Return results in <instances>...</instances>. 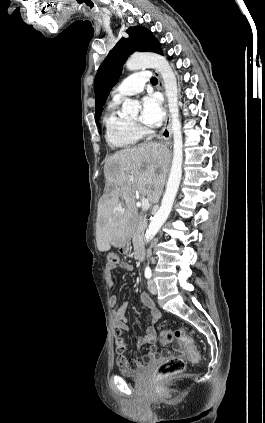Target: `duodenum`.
Instances as JSON below:
<instances>
[{
    "mask_svg": "<svg viewBox=\"0 0 265 423\" xmlns=\"http://www.w3.org/2000/svg\"><path fill=\"white\" fill-rule=\"evenodd\" d=\"M143 253H144V251H143V247H142V242H141V239L138 238V239H136L135 244H134V254H133L134 258L136 260H140L143 257Z\"/></svg>",
    "mask_w": 265,
    "mask_h": 423,
    "instance_id": "duodenum-1",
    "label": "duodenum"
}]
</instances>
